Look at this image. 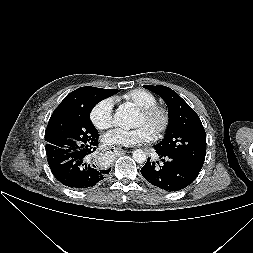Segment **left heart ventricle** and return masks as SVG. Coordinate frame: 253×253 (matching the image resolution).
<instances>
[{"label":"left heart ventricle","instance_id":"1","mask_svg":"<svg viewBox=\"0 0 253 253\" xmlns=\"http://www.w3.org/2000/svg\"><path fill=\"white\" fill-rule=\"evenodd\" d=\"M158 124H159V118H157V117L147 118V117H144L140 112L137 115L136 123H135V125H137V126L146 125L153 132H155Z\"/></svg>","mask_w":253,"mask_h":253}]
</instances>
